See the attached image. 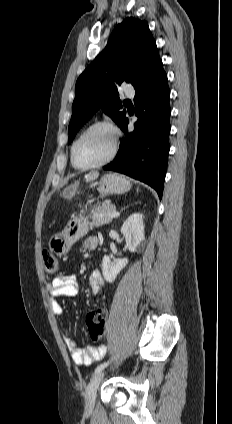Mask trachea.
<instances>
[{"mask_svg":"<svg viewBox=\"0 0 232 424\" xmlns=\"http://www.w3.org/2000/svg\"><path fill=\"white\" fill-rule=\"evenodd\" d=\"M124 103L125 104H128V103H131V101L130 100H125Z\"/></svg>","mask_w":232,"mask_h":424,"instance_id":"3493384b","label":"trachea"}]
</instances>
